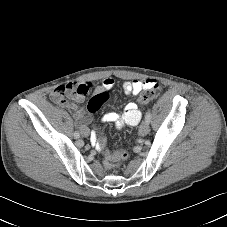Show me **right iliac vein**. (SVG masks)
Here are the masks:
<instances>
[{"instance_id": "63e3f726", "label": "right iliac vein", "mask_w": 227, "mask_h": 227, "mask_svg": "<svg viewBox=\"0 0 227 227\" xmlns=\"http://www.w3.org/2000/svg\"><path fill=\"white\" fill-rule=\"evenodd\" d=\"M89 135V131L88 130H85L84 132H83V136H88Z\"/></svg>"}]
</instances>
